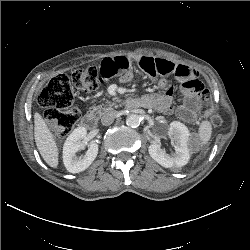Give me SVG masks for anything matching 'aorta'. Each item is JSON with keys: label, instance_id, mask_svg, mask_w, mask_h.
Masks as SVG:
<instances>
[{"label": "aorta", "instance_id": "aorta-1", "mask_svg": "<svg viewBox=\"0 0 250 250\" xmlns=\"http://www.w3.org/2000/svg\"><path fill=\"white\" fill-rule=\"evenodd\" d=\"M126 124L132 128L138 127L140 124V116L137 114L128 115L126 118Z\"/></svg>", "mask_w": 250, "mask_h": 250}]
</instances>
